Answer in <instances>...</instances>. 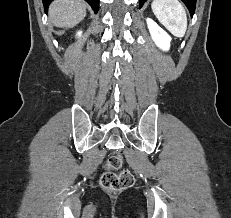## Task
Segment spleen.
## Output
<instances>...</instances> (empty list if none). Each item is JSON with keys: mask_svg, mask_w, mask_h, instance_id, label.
<instances>
[{"mask_svg": "<svg viewBox=\"0 0 231 218\" xmlns=\"http://www.w3.org/2000/svg\"><path fill=\"white\" fill-rule=\"evenodd\" d=\"M151 8L157 19L176 37H183L187 30L185 9L178 0H154Z\"/></svg>", "mask_w": 231, "mask_h": 218, "instance_id": "spleen-1", "label": "spleen"}]
</instances>
